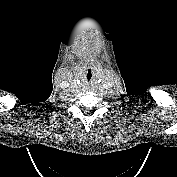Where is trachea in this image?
I'll return each instance as SVG.
<instances>
[{
    "mask_svg": "<svg viewBox=\"0 0 177 177\" xmlns=\"http://www.w3.org/2000/svg\"><path fill=\"white\" fill-rule=\"evenodd\" d=\"M87 77L90 79V78H91V75H90V74H88V75H87Z\"/></svg>",
    "mask_w": 177,
    "mask_h": 177,
    "instance_id": "3493384b",
    "label": "trachea"
}]
</instances>
